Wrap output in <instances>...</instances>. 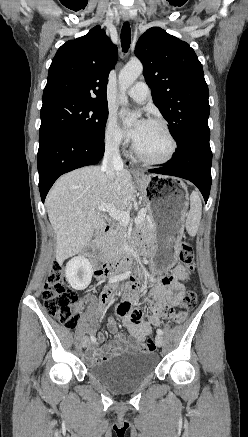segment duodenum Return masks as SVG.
<instances>
[{"label": "duodenum", "mask_w": 248, "mask_h": 437, "mask_svg": "<svg viewBox=\"0 0 248 437\" xmlns=\"http://www.w3.org/2000/svg\"><path fill=\"white\" fill-rule=\"evenodd\" d=\"M111 231V225L104 226L101 235L92 244L89 256L95 262L97 266L95 275L97 277H104L118 273L122 269L126 268L132 258L133 248L128 247L126 252L119 258H109L103 251V240Z\"/></svg>", "instance_id": "obj_1"}]
</instances>
